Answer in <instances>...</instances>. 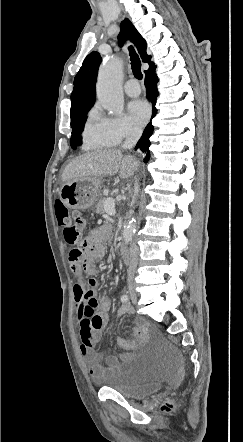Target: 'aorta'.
<instances>
[{
  "mask_svg": "<svg viewBox=\"0 0 243 442\" xmlns=\"http://www.w3.org/2000/svg\"><path fill=\"white\" fill-rule=\"evenodd\" d=\"M121 80V61L117 58L109 59L99 70L96 89L102 106L113 116L121 115L124 108ZM136 227V219H129L123 230L125 241L129 242L133 239Z\"/></svg>",
  "mask_w": 243,
  "mask_h": 442,
  "instance_id": "aorta-1",
  "label": "aorta"
}]
</instances>
